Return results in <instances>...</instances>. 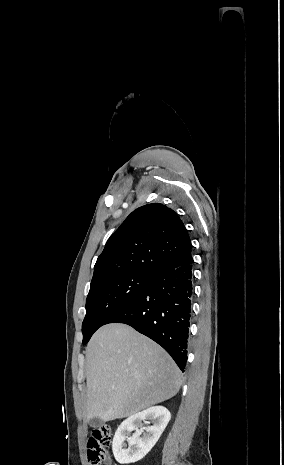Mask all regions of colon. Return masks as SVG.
Wrapping results in <instances>:
<instances>
[{
    "mask_svg": "<svg viewBox=\"0 0 284 465\" xmlns=\"http://www.w3.org/2000/svg\"><path fill=\"white\" fill-rule=\"evenodd\" d=\"M112 431L108 427H92L86 438V447L89 465H99L101 461V450L111 440Z\"/></svg>",
    "mask_w": 284,
    "mask_h": 465,
    "instance_id": "obj_1",
    "label": "colon"
}]
</instances>
